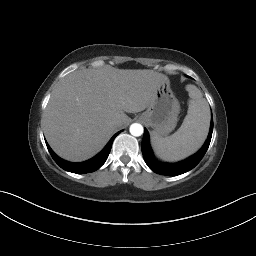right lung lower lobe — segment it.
Here are the masks:
<instances>
[{"label": "right lung lower lobe", "instance_id": "98d812e1", "mask_svg": "<svg viewBox=\"0 0 256 256\" xmlns=\"http://www.w3.org/2000/svg\"><path fill=\"white\" fill-rule=\"evenodd\" d=\"M120 132L116 133L111 140L108 142V144L106 145V147L95 157H93L90 160H87L85 162H81V163H72V162H67L63 159H61L60 157H58L50 148V146L47 144V148L52 156V158L54 159V161L64 170L69 171V172H73V173H78V174H85V173H89V172H93L96 171L97 169H99L107 160L108 155L110 153L111 147H112V143L115 139V137L119 134Z\"/></svg>", "mask_w": 256, "mask_h": 256}]
</instances>
